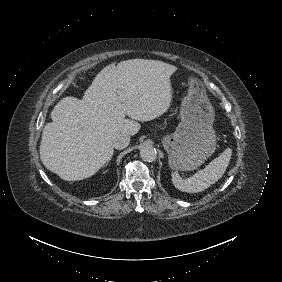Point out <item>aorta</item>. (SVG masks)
Listing matches in <instances>:
<instances>
[{"label":"aorta","instance_id":"obj_1","mask_svg":"<svg viewBox=\"0 0 282 282\" xmlns=\"http://www.w3.org/2000/svg\"><path fill=\"white\" fill-rule=\"evenodd\" d=\"M140 157L146 162L153 161L157 157V151L153 146L143 145L140 149Z\"/></svg>","mask_w":282,"mask_h":282}]
</instances>
